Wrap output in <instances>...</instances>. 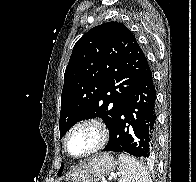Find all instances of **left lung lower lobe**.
Returning a JSON list of instances; mask_svg holds the SVG:
<instances>
[{"mask_svg": "<svg viewBox=\"0 0 196 182\" xmlns=\"http://www.w3.org/2000/svg\"><path fill=\"white\" fill-rule=\"evenodd\" d=\"M156 90L148 67L126 96L103 151L125 152L152 159L156 153Z\"/></svg>", "mask_w": 196, "mask_h": 182, "instance_id": "left-lung-lower-lobe-1", "label": "left lung lower lobe"}]
</instances>
